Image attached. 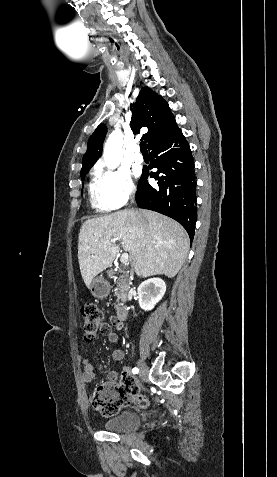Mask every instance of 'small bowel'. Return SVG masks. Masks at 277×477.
<instances>
[{
  "label": "small bowel",
  "instance_id": "c3829d8e",
  "mask_svg": "<svg viewBox=\"0 0 277 477\" xmlns=\"http://www.w3.org/2000/svg\"><path fill=\"white\" fill-rule=\"evenodd\" d=\"M112 327L119 330L123 327V323L119 321L116 317H111L110 324L102 323L100 327V331L102 334L107 336L109 342L117 345L119 344V337L115 332H113ZM111 356L113 360L121 361L124 358V351L121 348H116L112 351ZM82 364H83V375H82L83 381L85 383L93 382L96 377V372H95L93 364L91 363L90 358L84 357L82 359ZM118 379H119V375L116 372H111L108 374L109 382L117 383ZM123 380H131L135 383V381L132 378H130L128 368L123 369L122 381Z\"/></svg>",
  "mask_w": 277,
  "mask_h": 477
}]
</instances>
